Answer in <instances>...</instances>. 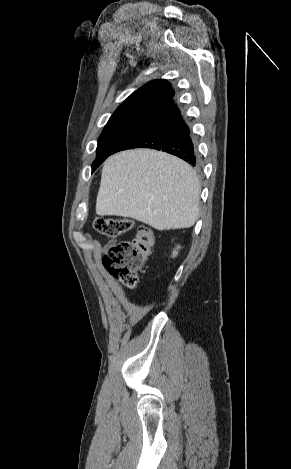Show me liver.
<instances>
[{
	"label": "liver",
	"instance_id": "obj_1",
	"mask_svg": "<svg viewBox=\"0 0 291 469\" xmlns=\"http://www.w3.org/2000/svg\"><path fill=\"white\" fill-rule=\"evenodd\" d=\"M200 183L183 160L151 149L119 152L104 163L100 216L129 217L157 230L189 228L199 215Z\"/></svg>",
	"mask_w": 291,
	"mask_h": 469
}]
</instances>
